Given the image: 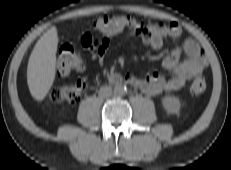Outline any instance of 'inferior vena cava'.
<instances>
[{"label": "inferior vena cava", "mask_w": 231, "mask_h": 170, "mask_svg": "<svg viewBox=\"0 0 231 170\" xmlns=\"http://www.w3.org/2000/svg\"><path fill=\"white\" fill-rule=\"evenodd\" d=\"M112 95V88L109 86H103L99 90V96L103 98L110 97Z\"/></svg>", "instance_id": "obj_1"}]
</instances>
